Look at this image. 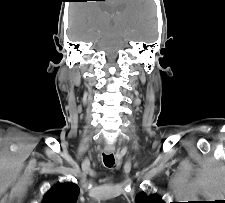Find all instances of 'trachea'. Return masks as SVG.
<instances>
[{"label":"trachea","mask_w":225,"mask_h":203,"mask_svg":"<svg viewBox=\"0 0 225 203\" xmlns=\"http://www.w3.org/2000/svg\"><path fill=\"white\" fill-rule=\"evenodd\" d=\"M103 161L107 167H112L115 163L113 154H109V155L103 154Z\"/></svg>","instance_id":"3493384b"}]
</instances>
